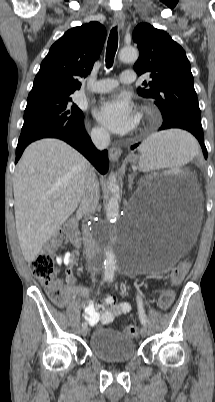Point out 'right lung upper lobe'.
I'll return each mask as SVG.
<instances>
[{
	"mask_svg": "<svg viewBox=\"0 0 215 402\" xmlns=\"http://www.w3.org/2000/svg\"><path fill=\"white\" fill-rule=\"evenodd\" d=\"M106 37V29L90 22L68 30L50 48L41 63L29 96L72 94L80 89L79 77L90 74Z\"/></svg>",
	"mask_w": 215,
	"mask_h": 402,
	"instance_id": "cb5924a9",
	"label": "right lung upper lobe"
}]
</instances>
